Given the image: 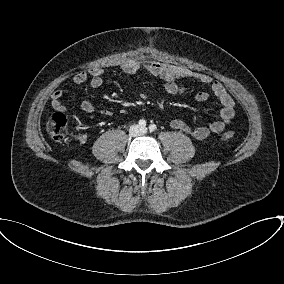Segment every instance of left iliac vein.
<instances>
[{
  "instance_id": "obj_1",
  "label": "left iliac vein",
  "mask_w": 284,
  "mask_h": 284,
  "mask_svg": "<svg viewBox=\"0 0 284 284\" xmlns=\"http://www.w3.org/2000/svg\"><path fill=\"white\" fill-rule=\"evenodd\" d=\"M141 130H142V132H146V131H147V129H146V128H142Z\"/></svg>"
}]
</instances>
